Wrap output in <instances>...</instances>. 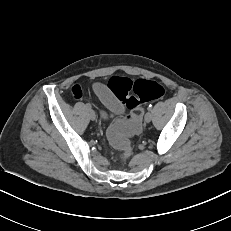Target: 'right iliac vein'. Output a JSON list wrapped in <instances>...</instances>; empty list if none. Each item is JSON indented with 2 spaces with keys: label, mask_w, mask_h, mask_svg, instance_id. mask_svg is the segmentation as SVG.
<instances>
[{
  "label": "right iliac vein",
  "mask_w": 231,
  "mask_h": 231,
  "mask_svg": "<svg viewBox=\"0 0 231 231\" xmlns=\"http://www.w3.org/2000/svg\"><path fill=\"white\" fill-rule=\"evenodd\" d=\"M89 116H90V119L93 120V121L96 119V114H95V112H94L93 110H91V109H90V111H89Z\"/></svg>",
  "instance_id": "obj_1"
}]
</instances>
